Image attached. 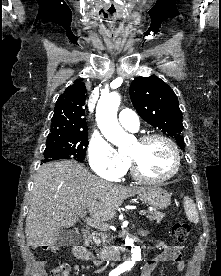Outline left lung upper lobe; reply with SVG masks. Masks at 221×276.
Returning <instances> with one entry per match:
<instances>
[{
    "label": "left lung upper lobe",
    "mask_w": 221,
    "mask_h": 276,
    "mask_svg": "<svg viewBox=\"0 0 221 276\" xmlns=\"http://www.w3.org/2000/svg\"><path fill=\"white\" fill-rule=\"evenodd\" d=\"M130 98L143 120L174 137L183 149L182 112L178 98L169 85L155 75L137 77L131 83Z\"/></svg>",
    "instance_id": "1"
}]
</instances>
